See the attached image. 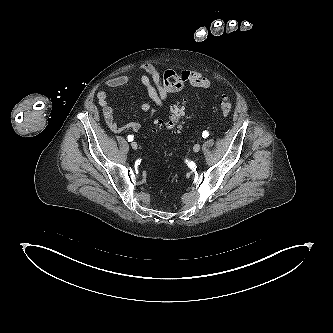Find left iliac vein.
Segmentation results:
<instances>
[{
  "label": "left iliac vein",
  "mask_w": 333,
  "mask_h": 333,
  "mask_svg": "<svg viewBox=\"0 0 333 333\" xmlns=\"http://www.w3.org/2000/svg\"><path fill=\"white\" fill-rule=\"evenodd\" d=\"M194 152H199L200 150V145L199 144H195L193 147Z\"/></svg>",
  "instance_id": "4c4485c4"
}]
</instances>
